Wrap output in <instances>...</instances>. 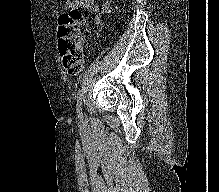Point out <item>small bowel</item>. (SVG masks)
Instances as JSON below:
<instances>
[{"label": "small bowel", "mask_w": 219, "mask_h": 192, "mask_svg": "<svg viewBox=\"0 0 219 192\" xmlns=\"http://www.w3.org/2000/svg\"><path fill=\"white\" fill-rule=\"evenodd\" d=\"M67 6H77L89 10L95 16L94 26L100 24V16L109 9L108 3L103 4L101 7L94 0H76L74 4L71 2V0H67Z\"/></svg>", "instance_id": "small-bowel-1"}]
</instances>
